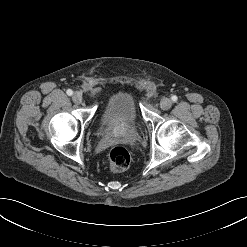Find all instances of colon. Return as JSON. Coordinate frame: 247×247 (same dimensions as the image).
Masks as SVG:
<instances>
[{
  "mask_svg": "<svg viewBox=\"0 0 247 247\" xmlns=\"http://www.w3.org/2000/svg\"><path fill=\"white\" fill-rule=\"evenodd\" d=\"M130 160L128 150L122 146L112 148L109 153L110 166L114 171H122L128 168Z\"/></svg>",
  "mask_w": 247,
  "mask_h": 247,
  "instance_id": "5ec220e1",
  "label": "colon"
}]
</instances>
